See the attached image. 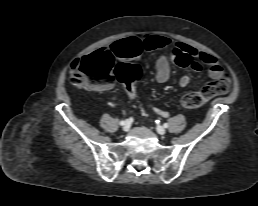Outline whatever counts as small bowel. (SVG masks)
I'll return each instance as SVG.
<instances>
[{
	"label": "small bowel",
	"instance_id": "1",
	"mask_svg": "<svg viewBox=\"0 0 258 206\" xmlns=\"http://www.w3.org/2000/svg\"><path fill=\"white\" fill-rule=\"evenodd\" d=\"M170 57L166 54L160 55L156 61L155 79L158 83H165L170 78V63L173 61L181 67H187L199 72L204 66L208 67L209 77L219 80L224 75V70L219 60L208 53L202 52L184 42H175L166 36L146 34L142 37L129 36L114 42L109 48H101L98 51L105 52L119 58H132L138 56L142 51L168 50ZM190 84L189 76H182L179 80V87L186 88ZM112 88L107 84L103 89ZM160 115L166 116L165 112Z\"/></svg>",
	"mask_w": 258,
	"mask_h": 206
}]
</instances>
